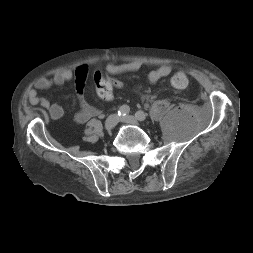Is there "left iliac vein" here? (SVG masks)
Listing matches in <instances>:
<instances>
[{
    "label": "left iliac vein",
    "mask_w": 253,
    "mask_h": 253,
    "mask_svg": "<svg viewBox=\"0 0 253 253\" xmlns=\"http://www.w3.org/2000/svg\"><path fill=\"white\" fill-rule=\"evenodd\" d=\"M121 121L127 124L139 126L138 120L134 116H131V115L121 118Z\"/></svg>",
    "instance_id": "1"
}]
</instances>
